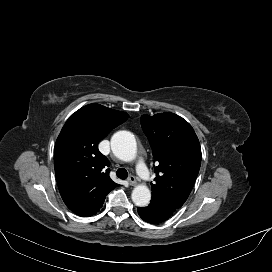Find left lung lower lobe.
Returning <instances> with one entry per match:
<instances>
[{
	"mask_svg": "<svg viewBox=\"0 0 272 272\" xmlns=\"http://www.w3.org/2000/svg\"><path fill=\"white\" fill-rule=\"evenodd\" d=\"M138 214L144 221L151 224L161 223L171 216L170 214H167L166 212H163L152 205H148L147 207H139Z\"/></svg>",
	"mask_w": 272,
	"mask_h": 272,
	"instance_id": "0a47b994",
	"label": "left lung lower lobe"
}]
</instances>
